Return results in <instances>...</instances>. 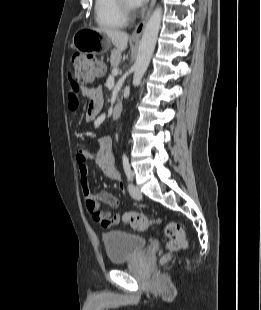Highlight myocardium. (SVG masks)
<instances>
[{
    "mask_svg": "<svg viewBox=\"0 0 261 310\" xmlns=\"http://www.w3.org/2000/svg\"><path fill=\"white\" fill-rule=\"evenodd\" d=\"M117 5L123 16L127 19L130 18L133 14L132 8L125 0H116Z\"/></svg>",
    "mask_w": 261,
    "mask_h": 310,
    "instance_id": "1",
    "label": "myocardium"
}]
</instances>
